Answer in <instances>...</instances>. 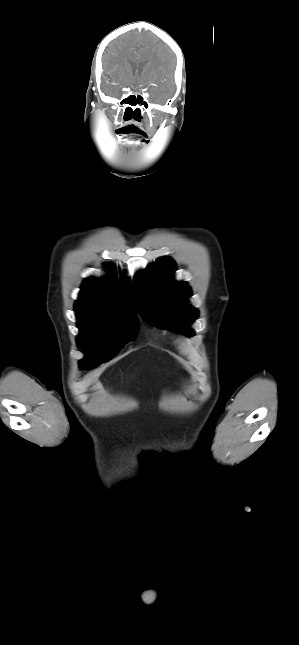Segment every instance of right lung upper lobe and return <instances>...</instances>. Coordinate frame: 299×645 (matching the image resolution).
Listing matches in <instances>:
<instances>
[{"mask_svg":"<svg viewBox=\"0 0 299 645\" xmlns=\"http://www.w3.org/2000/svg\"><path fill=\"white\" fill-rule=\"evenodd\" d=\"M109 274L111 277L87 278L83 282L75 310L120 312L137 318L129 279L117 280L114 271Z\"/></svg>","mask_w":299,"mask_h":645,"instance_id":"1","label":"right lung upper lobe"}]
</instances>
